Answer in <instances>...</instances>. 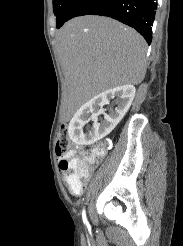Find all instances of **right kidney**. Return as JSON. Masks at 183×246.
I'll return each mask as SVG.
<instances>
[{
	"label": "right kidney",
	"mask_w": 183,
	"mask_h": 246,
	"mask_svg": "<svg viewBox=\"0 0 183 246\" xmlns=\"http://www.w3.org/2000/svg\"><path fill=\"white\" fill-rule=\"evenodd\" d=\"M135 91L133 85H121L93 97L71 119L68 127L70 139L78 145H89L107 136L127 113ZM115 97L117 107L106 114L103 106L109 104L110 99ZM100 114L104 115V120L98 123L97 118ZM89 120L93 121V126L87 133H84L82 128Z\"/></svg>",
	"instance_id": "obj_1"
}]
</instances>
